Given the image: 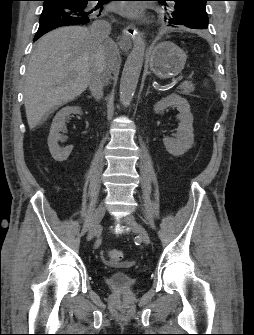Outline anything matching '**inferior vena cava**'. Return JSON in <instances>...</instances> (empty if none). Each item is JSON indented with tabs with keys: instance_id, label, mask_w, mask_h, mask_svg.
Here are the masks:
<instances>
[{
	"instance_id": "602c4592",
	"label": "inferior vena cava",
	"mask_w": 254,
	"mask_h": 335,
	"mask_svg": "<svg viewBox=\"0 0 254 335\" xmlns=\"http://www.w3.org/2000/svg\"><path fill=\"white\" fill-rule=\"evenodd\" d=\"M111 25L107 21L99 20L92 23L89 29L90 37L95 43L109 40ZM110 72L106 69L101 57H97L89 76V89L96 100L103 97V87L108 84Z\"/></svg>"
}]
</instances>
